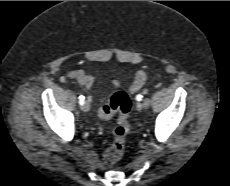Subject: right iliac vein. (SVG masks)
I'll list each match as a JSON object with an SVG mask.
<instances>
[{"instance_id":"63e3f726","label":"right iliac vein","mask_w":230,"mask_h":186,"mask_svg":"<svg viewBox=\"0 0 230 186\" xmlns=\"http://www.w3.org/2000/svg\"><path fill=\"white\" fill-rule=\"evenodd\" d=\"M82 110L84 112H88L90 110V103L89 101H85L84 104L82 105Z\"/></svg>"}]
</instances>
